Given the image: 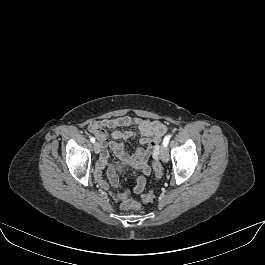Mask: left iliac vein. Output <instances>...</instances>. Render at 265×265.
Wrapping results in <instances>:
<instances>
[{"label":"left iliac vein","instance_id":"1","mask_svg":"<svg viewBox=\"0 0 265 265\" xmlns=\"http://www.w3.org/2000/svg\"><path fill=\"white\" fill-rule=\"evenodd\" d=\"M160 158L165 163L168 162V160H169L168 151L164 145L161 146V148H160Z\"/></svg>","mask_w":265,"mask_h":265}]
</instances>
